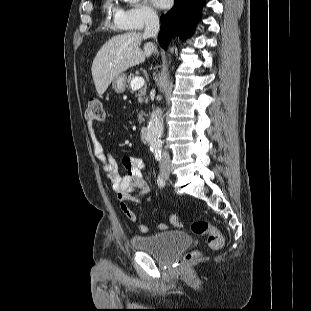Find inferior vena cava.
<instances>
[{
    "instance_id": "1",
    "label": "inferior vena cava",
    "mask_w": 311,
    "mask_h": 311,
    "mask_svg": "<svg viewBox=\"0 0 311 311\" xmlns=\"http://www.w3.org/2000/svg\"><path fill=\"white\" fill-rule=\"evenodd\" d=\"M160 29L159 18L155 13H148L145 19V30L144 35L146 37L156 38ZM170 156L166 150H162L160 156V165L169 166L170 165Z\"/></svg>"
}]
</instances>
